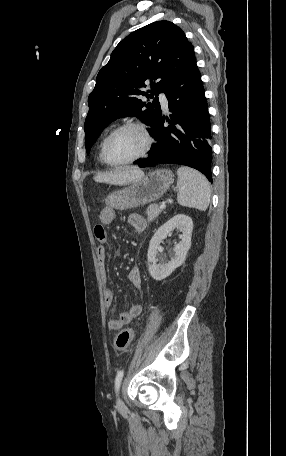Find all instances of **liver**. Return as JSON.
<instances>
[{
    "instance_id": "1",
    "label": "liver",
    "mask_w": 286,
    "mask_h": 456,
    "mask_svg": "<svg viewBox=\"0 0 286 456\" xmlns=\"http://www.w3.org/2000/svg\"><path fill=\"white\" fill-rule=\"evenodd\" d=\"M144 172L136 167H126L114 172L98 173L93 179L99 183L128 185L141 180Z\"/></svg>"
}]
</instances>
